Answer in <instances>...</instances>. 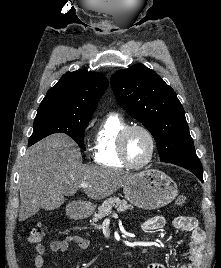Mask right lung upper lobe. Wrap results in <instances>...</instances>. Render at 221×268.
<instances>
[{
  "instance_id": "cb5924a9",
  "label": "right lung upper lobe",
  "mask_w": 221,
  "mask_h": 268,
  "mask_svg": "<svg viewBox=\"0 0 221 268\" xmlns=\"http://www.w3.org/2000/svg\"><path fill=\"white\" fill-rule=\"evenodd\" d=\"M107 87L108 80L101 73L83 69L67 72L48 90L38 111H59L91 118Z\"/></svg>"
}]
</instances>
